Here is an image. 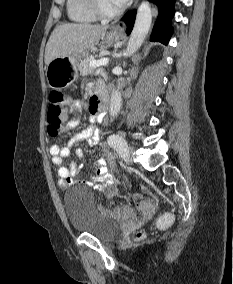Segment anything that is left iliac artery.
Masks as SVG:
<instances>
[{
    "label": "left iliac artery",
    "instance_id": "obj_1",
    "mask_svg": "<svg viewBox=\"0 0 233 284\" xmlns=\"http://www.w3.org/2000/svg\"><path fill=\"white\" fill-rule=\"evenodd\" d=\"M108 144L122 156L125 155L128 148L127 142L119 135L110 136L108 138Z\"/></svg>",
    "mask_w": 233,
    "mask_h": 284
}]
</instances>
